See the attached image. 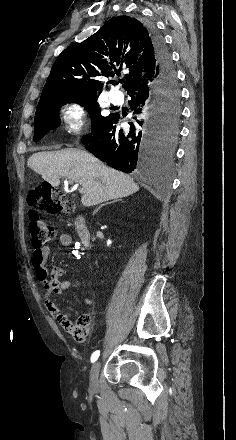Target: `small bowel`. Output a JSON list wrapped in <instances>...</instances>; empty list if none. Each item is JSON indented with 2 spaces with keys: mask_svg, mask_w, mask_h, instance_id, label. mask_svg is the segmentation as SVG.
Instances as JSON below:
<instances>
[{
  "mask_svg": "<svg viewBox=\"0 0 236 440\" xmlns=\"http://www.w3.org/2000/svg\"><path fill=\"white\" fill-rule=\"evenodd\" d=\"M57 242L60 247H69L72 244V238L69 234L62 233L58 236ZM49 254L50 247L43 245L34 248L31 256V265L35 275L44 288V305L48 312L59 322L60 330H66L77 342L83 343L87 339L90 330H94L95 323L94 321H89L90 316L88 314L81 315L77 321H70L67 314L55 304L52 295L63 294L67 289L72 287L75 282L73 280H62L65 274V270L62 267L54 268L50 275H48L46 262ZM84 302L89 306L93 304V301L87 297L84 298Z\"/></svg>",
  "mask_w": 236,
  "mask_h": 440,
  "instance_id": "1",
  "label": "small bowel"
}]
</instances>
